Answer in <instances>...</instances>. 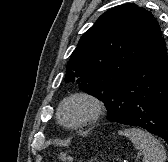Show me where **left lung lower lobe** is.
Returning <instances> with one entry per match:
<instances>
[{
  "label": "left lung lower lobe",
  "mask_w": 168,
  "mask_h": 162,
  "mask_svg": "<svg viewBox=\"0 0 168 162\" xmlns=\"http://www.w3.org/2000/svg\"><path fill=\"white\" fill-rule=\"evenodd\" d=\"M106 107L109 121L141 127L168 142V58L162 36L116 86Z\"/></svg>",
  "instance_id": "left-lung-lower-lobe-1"
}]
</instances>
